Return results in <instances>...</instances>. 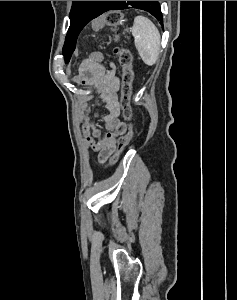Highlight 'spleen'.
Here are the masks:
<instances>
[{
    "instance_id": "spleen-1",
    "label": "spleen",
    "mask_w": 237,
    "mask_h": 300,
    "mask_svg": "<svg viewBox=\"0 0 237 300\" xmlns=\"http://www.w3.org/2000/svg\"><path fill=\"white\" fill-rule=\"evenodd\" d=\"M135 47L145 65H155L160 53V33L147 17H136L131 29Z\"/></svg>"
}]
</instances>
